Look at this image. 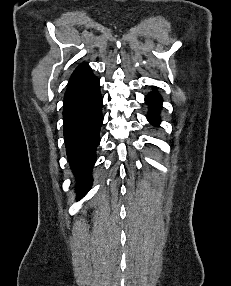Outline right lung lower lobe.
<instances>
[{"label": "right lung lower lobe", "instance_id": "right-lung-lower-lobe-1", "mask_svg": "<svg viewBox=\"0 0 231 286\" xmlns=\"http://www.w3.org/2000/svg\"><path fill=\"white\" fill-rule=\"evenodd\" d=\"M100 81L91 72L71 77L64 95V137L70 166L83 197L91 187L99 131L103 123Z\"/></svg>", "mask_w": 231, "mask_h": 286}]
</instances>
